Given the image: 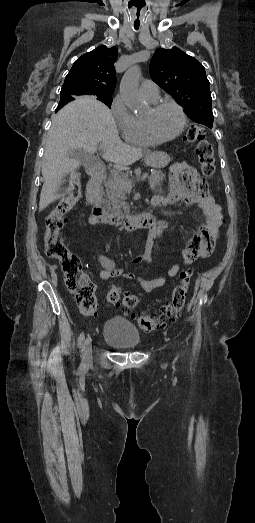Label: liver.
<instances>
[{
	"mask_svg": "<svg viewBox=\"0 0 255 523\" xmlns=\"http://www.w3.org/2000/svg\"><path fill=\"white\" fill-rule=\"evenodd\" d=\"M97 146L104 150V160L113 162L116 170H129L128 166L143 156L140 148H131L121 142L111 110L92 96H81L55 114L48 132L45 162L41 170L45 182L40 194L39 212L64 196L57 194L60 186L66 182L64 178L78 170V160L68 158L71 150L81 148L94 154ZM155 154L164 160L163 152Z\"/></svg>",
	"mask_w": 255,
	"mask_h": 523,
	"instance_id": "liver-1",
	"label": "liver"
}]
</instances>
